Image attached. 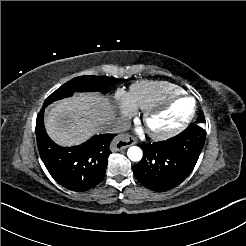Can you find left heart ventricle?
<instances>
[{
    "instance_id": "left-heart-ventricle-1",
    "label": "left heart ventricle",
    "mask_w": 246,
    "mask_h": 246,
    "mask_svg": "<svg viewBox=\"0 0 246 246\" xmlns=\"http://www.w3.org/2000/svg\"><path fill=\"white\" fill-rule=\"evenodd\" d=\"M189 104L187 100H181L175 103L171 109L156 116L151 120V126L155 130L166 129L173 126L181 120L184 108Z\"/></svg>"
}]
</instances>
